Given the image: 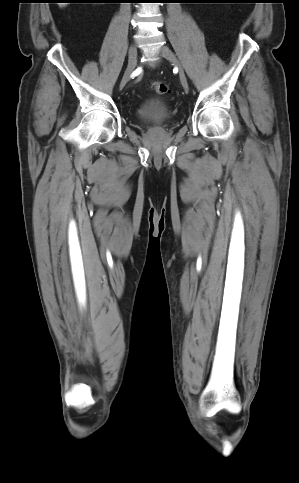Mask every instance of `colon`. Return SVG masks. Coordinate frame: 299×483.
Instances as JSON below:
<instances>
[{
  "label": "colon",
  "instance_id": "5ec220e1",
  "mask_svg": "<svg viewBox=\"0 0 299 483\" xmlns=\"http://www.w3.org/2000/svg\"><path fill=\"white\" fill-rule=\"evenodd\" d=\"M150 88L157 94L163 95L169 91V84L166 81H153L150 83Z\"/></svg>",
  "mask_w": 299,
  "mask_h": 483
}]
</instances>
